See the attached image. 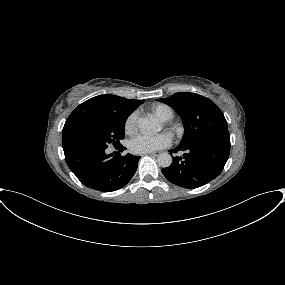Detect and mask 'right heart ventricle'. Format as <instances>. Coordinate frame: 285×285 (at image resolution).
Here are the masks:
<instances>
[{
	"mask_svg": "<svg viewBox=\"0 0 285 285\" xmlns=\"http://www.w3.org/2000/svg\"><path fill=\"white\" fill-rule=\"evenodd\" d=\"M150 109L162 121H168L174 117V110L166 104H154Z\"/></svg>",
	"mask_w": 285,
	"mask_h": 285,
	"instance_id": "obj_1",
	"label": "right heart ventricle"
}]
</instances>
